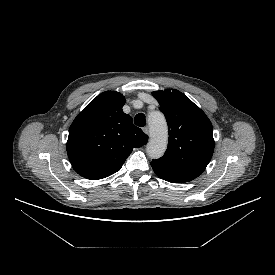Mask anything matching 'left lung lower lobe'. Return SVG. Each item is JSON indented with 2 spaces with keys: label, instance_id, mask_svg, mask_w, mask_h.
<instances>
[{
  "label": "left lung lower lobe",
  "instance_id": "obj_1",
  "mask_svg": "<svg viewBox=\"0 0 275 275\" xmlns=\"http://www.w3.org/2000/svg\"><path fill=\"white\" fill-rule=\"evenodd\" d=\"M153 170H154V172L156 173V175L158 177H160L161 179L166 180L168 182H171V183H184V182H187L186 180H184L182 178H179V177H176L174 175L162 172V171H160L156 168H153Z\"/></svg>",
  "mask_w": 275,
  "mask_h": 275
}]
</instances>
